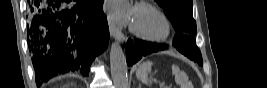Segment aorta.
<instances>
[{"label": "aorta", "instance_id": "1", "mask_svg": "<svg viewBox=\"0 0 267 88\" xmlns=\"http://www.w3.org/2000/svg\"><path fill=\"white\" fill-rule=\"evenodd\" d=\"M110 68L115 88H127L128 67L120 44L115 41L110 49Z\"/></svg>", "mask_w": 267, "mask_h": 88}]
</instances>
